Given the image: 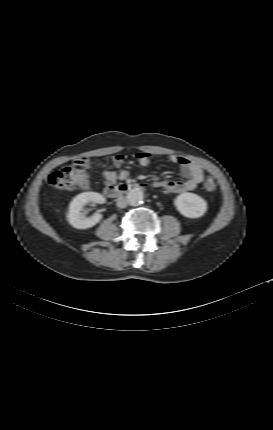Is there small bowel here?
I'll list each match as a JSON object with an SVG mask.
<instances>
[{"instance_id": "c3829d8e", "label": "small bowel", "mask_w": 273, "mask_h": 430, "mask_svg": "<svg viewBox=\"0 0 273 430\" xmlns=\"http://www.w3.org/2000/svg\"><path fill=\"white\" fill-rule=\"evenodd\" d=\"M171 162L178 165L182 175L184 176V181H177L166 179L163 181H157L153 183L154 187H161L166 194L171 193H182L195 189L204 180V170L198 163L192 162L185 157L178 155H168ZM125 161L123 155H115L112 158V164L115 168H120ZM138 163L146 167L150 164L151 156L147 152H140L137 154ZM81 165H89V158H81ZM103 178L107 185H113L118 181L126 180L129 177V172L127 170H103Z\"/></svg>"}]
</instances>
